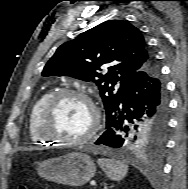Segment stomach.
I'll use <instances>...</instances> for the list:
<instances>
[{
	"mask_svg": "<svg viewBox=\"0 0 188 189\" xmlns=\"http://www.w3.org/2000/svg\"><path fill=\"white\" fill-rule=\"evenodd\" d=\"M93 160L86 154L68 153L38 164V174L54 182L69 186H82L95 174Z\"/></svg>",
	"mask_w": 188,
	"mask_h": 189,
	"instance_id": "1",
	"label": "stomach"
}]
</instances>
